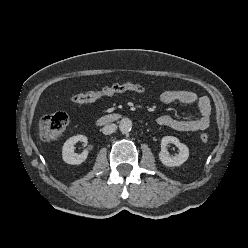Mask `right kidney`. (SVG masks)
<instances>
[{
	"label": "right kidney",
	"mask_w": 248,
	"mask_h": 248,
	"mask_svg": "<svg viewBox=\"0 0 248 248\" xmlns=\"http://www.w3.org/2000/svg\"><path fill=\"white\" fill-rule=\"evenodd\" d=\"M78 141L87 143V137L85 135H75L70 137L63 145L62 158L67 164L79 165L83 163L88 156V151H83L81 154L74 152V144Z\"/></svg>",
	"instance_id": "right-kidney-1"
}]
</instances>
